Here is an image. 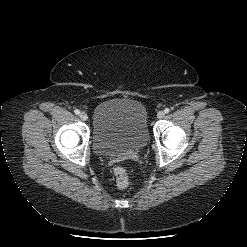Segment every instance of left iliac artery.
Listing matches in <instances>:
<instances>
[{"instance_id": "left-iliac-artery-1", "label": "left iliac artery", "mask_w": 247, "mask_h": 247, "mask_svg": "<svg viewBox=\"0 0 247 247\" xmlns=\"http://www.w3.org/2000/svg\"><path fill=\"white\" fill-rule=\"evenodd\" d=\"M164 112L165 113H169L170 112V109L169 108H165Z\"/></svg>"}]
</instances>
